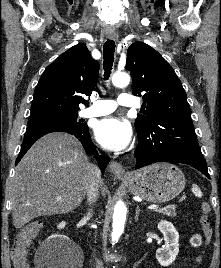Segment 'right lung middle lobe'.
I'll list each match as a JSON object with an SVG mask.
<instances>
[{
  "label": "right lung middle lobe",
  "instance_id": "obj_1",
  "mask_svg": "<svg viewBox=\"0 0 221 268\" xmlns=\"http://www.w3.org/2000/svg\"><path fill=\"white\" fill-rule=\"evenodd\" d=\"M77 112L59 113L44 116H30L28 126L41 124V123H52L62 124L71 127H86L87 125L78 120Z\"/></svg>",
  "mask_w": 221,
  "mask_h": 268
}]
</instances>
